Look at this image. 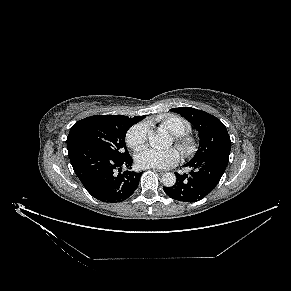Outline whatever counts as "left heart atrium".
Returning <instances> with one entry per match:
<instances>
[{"label": "left heart atrium", "instance_id": "39dd6f15", "mask_svg": "<svg viewBox=\"0 0 291 291\" xmlns=\"http://www.w3.org/2000/svg\"><path fill=\"white\" fill-rule=\"evenodd\" d=\"M179 152L175 148L156 149L145 147L136 155V162L143 168L164 169L176 164Z\"/></svg>", "mask_w": 291, "mask_h": 291}]
</instances>
